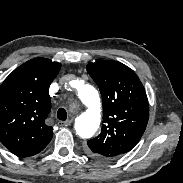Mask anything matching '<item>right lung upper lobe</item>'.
<instances>
[{
	"label": "right lung upper lobe",
	"mask_w": 183,
	"mask_h": 183,
	"mask_svg": "<svg viewBox=\"0 0 183 183\" xmlns=\"http://www.w3.org/2000/svg\"><path fill=\"white\" fill-rule=\"evenodd\" d=\"M60 68L47 58L32 59L0 86V141L18 157L39 153L52 139L45 120L51 109L49 86Z\"/></svg>",
	"instance_id": "1"
}]
</instances>
